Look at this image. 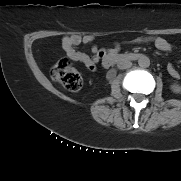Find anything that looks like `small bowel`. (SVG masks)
<instances>
[{
	"instance_id": "small-bowel-1",
	"label": "small bowel",
	"mask_w": 181,
	"mask_h": 181,
	"mask_svg": "<svg viewBox=\"0 0 181 181\" xmlns=\"http://www.w3.org/2000/svg\"><path fill=\"white\" fill-rule=\"evenodd\" d=\"M93 40L94 37L91 35H65L61 39V45L69 59L80 62L87 69L93 71L96 69L99 60L103 58L106 53L103 50L97 49L96 47L92 48V55H88L77 49L79 45L89 44ZM154 43L159 50L167 51L170 49L169 42L163 37H156ZM119 48V44L116 43L111 50V54H116L119 51ZM167 71L173 78L178 79L180 77L178 70L172 64L167 66Z\"/></svg>"
}]
</instances>
